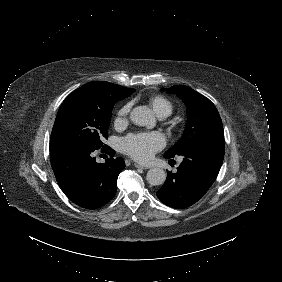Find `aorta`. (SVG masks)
Wrapping results in <instances>:
<instances>
[{"instance_id":"762f6f07","label":"aorta","mask_w":282,"mask_h":282,"mask_svg":"<svg viewBox=\"0 0 282 282\" xmlns=\"http://www.w3.org/2000/svg\"><path fill=\"white\" fill-rule=\"evenodd\" d=\"M130 119L138 126L154 128L156 125V119L147 106L135 107L130 113ZM146 179L153 186L162 185L166 180V173L163 169L155 167L147 172Z\"/></svg>"}]
</instances>
